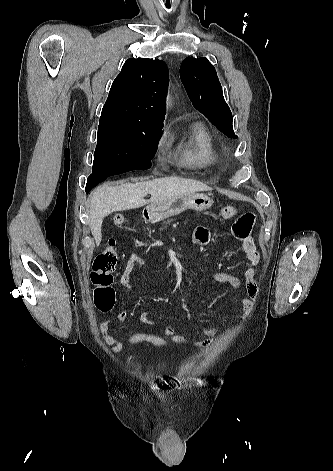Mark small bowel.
<instances>
[{
	"instance_id": "small-bowel-1",
	"label": "small bowel",
	"mask_w": 333,
	"mask_h": 471,
	"mask_svg": "<svg viewBox=\"0 0 333 471\" xmlns=\"http://www.w3.org/2000/svg\"><path fill=\"white\" fill-rule=\"evenodd\" d=\"M255 216L253 213H244L239 216L233 226V234L241 241L242 249L245 254V259L247 261V269L244 273V278L240 279L239 277L226 273V272H215L212 274L211 278L218 283L228 284L234 289H244V294L241 297V305L244 311V315L248 316L255 304V300L258 297L259 288L257 282L255 281L256 274V265L259 263L260 255L256 249L254 240L251 236V230L254 224ZM210 240V232L204 226H199L194 230L193 241L197 245H206ZM145 263L144 259L138 256L135 253H132L123 269V272L120 276V283L123 287L130 289L131 288V276L133 272L143 266ZM128 317V310L123 309L118 314V319L120 321H125ZM139 320L144 325H155V322L150 318L149 314L142 312L139 316ZM111 320H105L100 325V332L104 342L110 346L113 353H119L123 349V343L121 340L117 339L113 335L109 334V329L111 327ZM217 328L214 326H207L202 328V334L205 336L203 340H192L189 337L179 334L175 327L168 326L164 330V336L172 343L176 344H186L192 343L196 346L202 347L207 346L211 342L212 338L216 335Z\"/></svg>"
}]
</instances>
